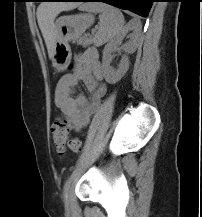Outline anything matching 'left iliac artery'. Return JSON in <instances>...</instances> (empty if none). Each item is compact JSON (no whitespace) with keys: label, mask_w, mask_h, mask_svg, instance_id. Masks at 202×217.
I'll list each match as a JSON object with an SVG mask.
<instances>
[{"label":"left iliac artery","mask_w":202,"mask_h":217,"mask_svg":"<svg viewBox=\"0 0 202 217\" xmlns=\"http://www.w3.org/2000/svg\"><path fill=\"white\" fill-rule=\"evenodd\" d=\"M75 176V172H73L70 177L68 178V180L66 181L65 185H64V195L66 194L67 189L69 188L73 178Z\"/></svg>","instance_id":"44dca946"}]
</instances>
